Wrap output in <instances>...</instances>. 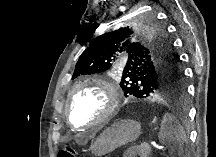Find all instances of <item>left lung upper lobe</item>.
<instances>
[{
    "mask_svg": "<svg viewBox=\"0 0 216 157\" xmlns=\"http://www.w3.org/2000/svg\"><path fill=\"white\" fill-rule=\"evenodd\" d=\"M152 18L133 15L93 39L80 56L72 79L116 69V74H122L120 86L125 96L183 97L186 87L179 56L165 23Z\"/></svg>",
    "mask_w": 216,
    "mask_h": 157,
    "instance_id": "1",
    "label": "left lung upper lobe"
}]
</instances>
